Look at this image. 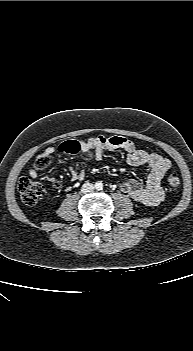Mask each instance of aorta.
Listing matches in <instances>:
<instances>
[{
    "instance_id": "1",
    "label": "aorta",
    "mask_w": 193,
    "mask_h": 351,
    "mask_svg": "<svg viewBox=\"0 0 193 351\" xmlns=\"http://www.w3.org/2000/svg\"><path fill=\"white\" fill-rule=\"evenodd\" d=\"M97 188H102V184H97Z\"/></svg>"
}]
</instances>
